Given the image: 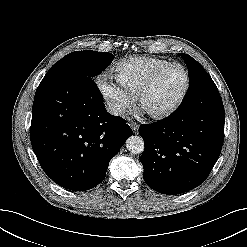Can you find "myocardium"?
Masks as SVG:
<instances>
[{"instance_id":"obj_1","label":"myocardium","mask_w":247,"mask_h":247,"mask_svg":"<svg viewBox=\"0 0 247 247\" xmlns=\"http://www.w3.org/2000/svg\"><path fill=\"white\" fill-rule=\"evenodd\" d=\"M172 67H178V68L182 69L184 76H185L184 87H183L180 95L174 101L173 104H171L169 107H167L161 111L152 112V111L145 110L142 106V102H143L145 95L154 86V84L156 83V81L158 80L160 75H162L166 70H168ZM189 87H190V76H189L188 70L180 63H168V64L158 68L157 70H155L145 80V82L139 87V89L137 90V92L135 94L136 106L143 114H145L147 117H149L151 119H155V120L165 119V118L169 117L170 115H172L173 113H175L179 109V107L182 105L184 99L187 96V93L189 91Z\"/></svg>"}]
</instances>
